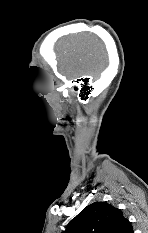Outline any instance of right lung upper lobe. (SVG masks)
Returning a JSON list of instances; mask_svg holds the SVG:
<instances>
[{
    "instance_id": "right-lung-upper-lobe-1",
    "label": "right lung upper lobe",
    "mask_w": 148,
    "mask_h": 233,
    "mask_svg": "<svg viewBox=\"0 0 148 233\" xmlns=\"http://www.w3.org/2000/svg\"><path fill=\"white\" fill-rule=\"evenodd\" d=\"M62 233H134L131 223L120 209L107 202L85 207Z\"/></svg>"
}]
</instances>
